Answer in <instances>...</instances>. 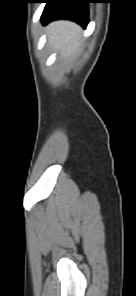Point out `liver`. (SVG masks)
<instances>
[{"instance_id":"liver-1","label":"liver","mask_w":136,"mask_h":296,"mask_svg":"<svg viewBox=\"0 0 136 296\" xmlns=\"http://www.w3.org/2000/svg\"><path fill=\"white\" fill-rule=\"evenodd\" d=\"M48 43L60 51L63 58L78 50L81 28L70 21H56L47 27Z\"/></svg>"}]
</instances>
